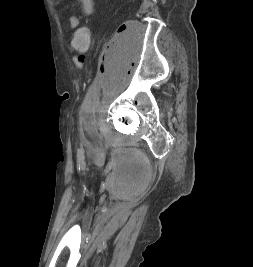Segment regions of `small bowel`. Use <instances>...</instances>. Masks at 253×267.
Here are the masks:
<instances>
[{"mask_svg":"<svg viewBox=\"0 0 253 267\" xmlns=\"http://www.w3.org/2000/svg\"><path fill=\"white\" fill-rule=\"evenodd\" d=\"M81 7L82 13L86 16H90L94 12V2L93 0H78ZM67 23L70 28L76 29L80 24V20L77 16L71 15L67 19Z\"/></svg>","mask_w":253,"mask_h":267,"instance_id":"obj_1","label":"small bowel"}]
</instances>
